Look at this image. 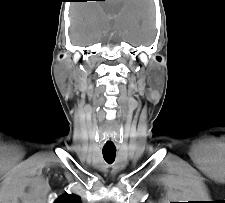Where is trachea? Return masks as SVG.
<instances>
[{
  "instance_id": "trachea-1",
  "label": "trachea",
  "mask_w": 225,
  "mask_h": 203,
  "mask_svg": "<svg viewBox=\"0 0 225 203\" xmlns=\"http://www.w3.org/2000/svg\"><path fill=\"white\" fill-rule=\"evenodd\" d=\"M103 157L107 163H113L116 157V150H103Z\"/></svg>"
}]
</instances>
